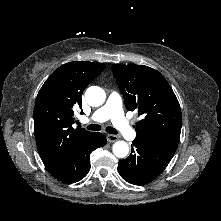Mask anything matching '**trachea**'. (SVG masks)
I'll list each match as a JSON object with an SVG mask.
<instances>
[{"label": "trachea", "instance_id": "1", "mask_svg": "<svg viewBox=\"0 0 221 221\" xmlns=\"http://www.w3.org/2000/svg\"><path fill=\"white\" fill-rule=\"evenodd\" d=\"M87 129L93 130V131H99V130H101V126L98 124H91V125L87 126ZM106 132H108L110 134H117V131L110 126L106 127Z\"/></svg>", "mask_w": 221, "mask_h": 221}]
</instances>
